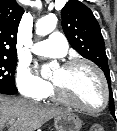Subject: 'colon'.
<instances>
[{
  "label": "colon",
  "mask_w": 117,
  "mask_h": 131,
  "mask_svg": "<svg viewBox=\"0 0 117 131\" xmlns=\"http://www.w3.org/2000/svg\"><path fill=\"white\" fill-rule=\"evenodd\" d=\"M89 131H106L105 128L101 124H93Z\"/></svg>",
  "instance_id": "5ec220e1"
}]
</instances>
